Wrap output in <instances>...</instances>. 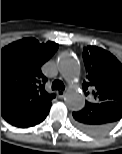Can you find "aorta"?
Returning a JSON list of instances; mask_svg holds the SVG:
<instances>
[{"label":"aorta","mask_w":122,"mask_h":154,"mask_svg":"<svg viewBox=\"0 0 122 154\" xmlns=\"http://www.w3.org/2000/svg\"><path fill=\"white\" fill-rule=\"evenodd\" d=\"M57 68L61 76L70 84L74 85L80 75V63L69 52L62 53L57 60ZM65 104L68 109L77 111L85 105V97L82 92L71 87L65 96Z\"/></svg>","instance_id":"1"}]
</instances>
